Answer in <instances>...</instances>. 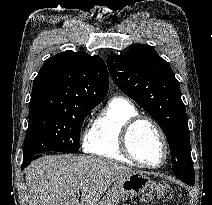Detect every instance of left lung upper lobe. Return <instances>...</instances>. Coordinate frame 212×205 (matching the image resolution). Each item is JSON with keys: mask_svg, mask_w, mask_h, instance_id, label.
<instances>
[{"mask_svg": "<svg viewBox=\"0 0 212 205\" xmlns=\"http://www.w3.org/2000/svg\"><path fill=\"white\" fill-rule=\"evenodd\" d=\"M107 65L118 88L162 128L170 147L175 176L194 181L188 119L180 84L168 62L153 47L139 44L121 55H110Z\"/></svg>", "mask_w": 212, "mask_h": 205, "instance_id": "1", "label": "left lung upper lobe"}]
</instances>
